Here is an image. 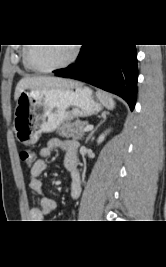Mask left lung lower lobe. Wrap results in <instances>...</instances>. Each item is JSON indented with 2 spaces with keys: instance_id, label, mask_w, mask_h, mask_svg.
<instances>
[{
  "instance_id": "0a47b994",
  "label": "left lung lower lobe",
  "mask_w": 166,
  "mask_h": 267,
  "mask_svg": "<svg viewBox=\"0 0 166 267\" xmlns=\"http://www.w3.org/2000/svg\"><path fill=\"white\" fill-rule=\"evenodd\" d=\"M54 73L117 94L134 109L138 78L135 45H83L77 63Z\"/></svg>"
}]
</instances>
